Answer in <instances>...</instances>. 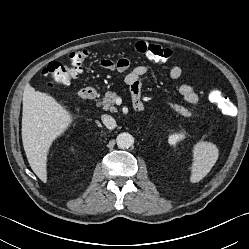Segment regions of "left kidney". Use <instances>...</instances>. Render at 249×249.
<instances>
[{"instance_id": "obj_1", "label": "left kidney", "mask_w": 249, "mask_h": 249, "mask_svg": "<svg viewBox=\"0 0 249 249\" xmlns=\"http://www.w3.org/2000/svg\"><path fill=\"white\" fill-rule=\"evenodd\" d=\"M184 138H185V134L184 133L172 134L168 138V143L171 146H175L177 144V142H179L180 140H182Z\"/></svg>"}]
</instances>
